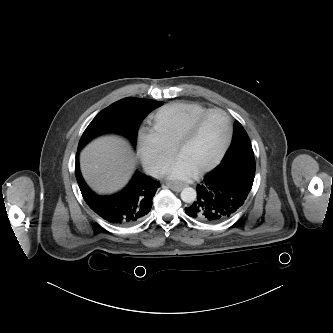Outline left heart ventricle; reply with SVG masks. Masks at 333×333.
Here are the masks:
<instances>
[{"label":"left heart ventricle","instance_id":"obj_1","mask_svg":"<svg viewBox=\"0 0 333 333\" xmlns=\"http://www.w3.org/2000/svg\"><path fill=\"white\" fill-rule=\"evenodd\" d=\"M228 131L221 113H212L197 127L191 139L179 150L177 157L194 171L210 163L219 152Z\"/></svg>","mask_w":333,"mask_h":333}]
</instances>
